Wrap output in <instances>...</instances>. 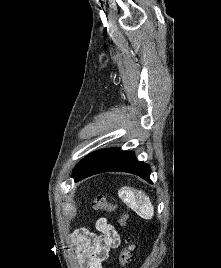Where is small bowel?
<instances>
[{"mask_svg": "<svg viewBox=\"0 0 221 268\" xmlns=\"http://www.w3.org/2000/svg\"><path fill=\"white\" fill-rule=\"evenodd\" d=\"M96 230L98 233L81 227L72 233L75 253L82 268H103L111 250L120 244L118 232L105 218L97 220Z\"/></svg>", "mask_w": 221, "mask_h": 268, "instance_id": "1", "label": "small bowel"}]
</instances>
